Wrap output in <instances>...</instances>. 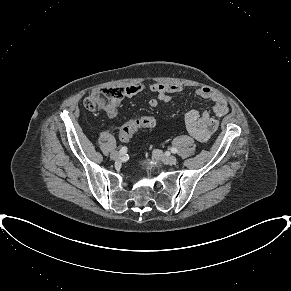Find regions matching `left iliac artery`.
<instances>
[{"label":"left iliac artery","instance_id":"obj_1","mask_svg":"<svg viewBox=\"0 0 291 291\" xmlns=\"http://www.w3.org/2000/svg\"><path fill=\"white\" fill-rule=\"evenodd\" d=\"M170 151H171L172 153H177V149L174 148V147H172V148L170 149Z\"/></svg>","mask_w":291,"mask_h":291}]
</instances>
